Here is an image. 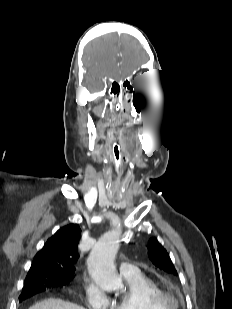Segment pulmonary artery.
Returning <instances> with one entry per match:
<instances>
[{
    "label": "pulmonary artery",
    "mask_w": 232,
    "mask_h": 309,
    "mask_svg": "<svg viewBox=\"0 0 232 309\" xmlns=\"http://www.w3.org/2000/svg\"><path fill=\"white\" fill-rule=\"evenodd\" d=\"M119 271L122 276L132 275L138 272V268L128 262H121L119 264Z\"/></svg>",
    "instance_id": "obj_1"
}]
</instances>
